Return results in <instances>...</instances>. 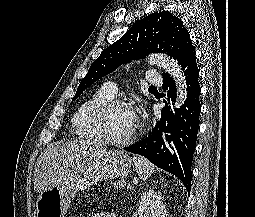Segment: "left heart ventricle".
<instances>
[{"label":"left heart ventricle","mask_w":255,"mask_h":217,"mask_svg":"<svg viewBox=\"0 0 255 217\" xmlns=\"http://www.w3.org/2000/svg\"><path fill=\"white\" fill-rule=\"evenodd\" d=\"M136 127L132 117V110L127 107H118L112 110L107 118L109 134L114 138L127 137Z\"/></svg>","instance_id":"b2bd125f"}]
</instances>
